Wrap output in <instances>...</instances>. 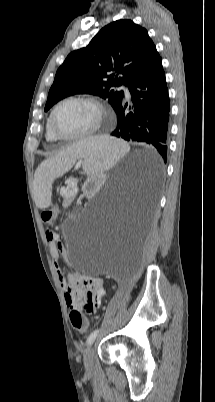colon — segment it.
Returning <instances> with one entry per match:
<instances>
[{
    "instance_id": "colon-1",
    "label": "colon",
    "mask_w": 215,
    "mask_h": 402,
    "mask_svg": "<svg viewBox=\"0 0 215 402\" xmlns=\"http://www.w3.org/2000/svg\"><path fill=\"white\" fill-rule=\"evenodd\" d=\"M57 214H58V210L56 208H53V209L44 211L42 213V218L45 222L50 223L56 218ZM85 309H86V311L91 312V313L94 311V306L90 302V300H88V302L86 303ZM70 321L75 330H77L79 332L86 331L87 321H86V318L83 316V314L79 310L73 309L70 312Z\"/></svg>"
}]
</instances>
